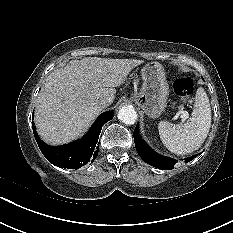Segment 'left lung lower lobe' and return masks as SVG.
<instances>
[{
  "label": "left lung lower lobe",
  "mask_w": 233,
  "mask_h": 233,
  "mask_svg": "<svg viewBox=\"0 0 233 233\" xmlns=\"http://www.w3.org/2000/svg\"><path fill=\"white\" fill-rule=\"evenodd\" d=\"M135 147L140 155V157L148 164L153 167L162 169V170H171L173 169L174 165L176 164L177 160L161 156L154 152L146 143L143 141L138 132V125L133 133ZM197 157V155L192 156L190 159H187L186 162L192 160L193 158Z\"/></svg>",
  "instance_id": "0a47b994"
}]
</instances>
